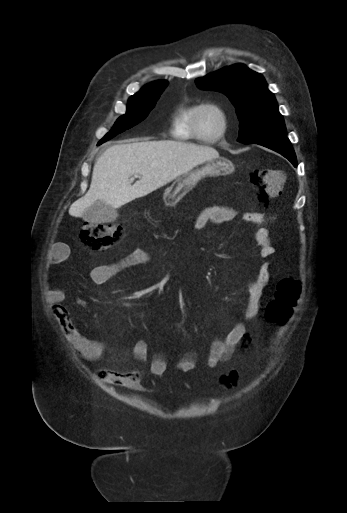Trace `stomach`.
<instances>
[{
    "instance_id": "1",
    "label": "stomach",
    "mask_w": 347,
    "mask_h": 513,
    "mask_svg": "<svg viewBox=\"0 0 347 513\" xmlns=\"http://www.w3.org/2000/svg\"><path fill=\"white\" fill-rule=\"evenodd\" d=\"M234 168L233 163L226 158L208 161L201 168L188 171L178 176L173 184L164 192V202L168 206L175 205L180 198L188 193L206 176H222L229 174Z\"/></svg>"
}]
</instances>
